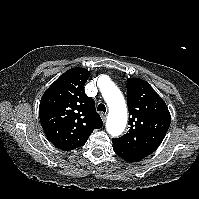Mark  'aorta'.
I'll list each match as a JSON object with an SVG mask.
<instances>
[{"mask_svg": "<svg viewBox=\"0 0 199 199\" xmlns=\"http://www.w3.org/2000/svg\"><path fill=\"white\" fill-rule=\"evenodd\" d=\"M100 78L98 85L109 107V114L106 123L108 133L114 137L119 136L125 129L127 123V108L124 97L120 90L109 80L102 83Z\"/></svg>", "mask_w": 199, "mask_h": 199, "instance_id": "obj_1", "label": "aorta"}]
</instances>
